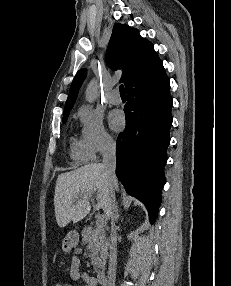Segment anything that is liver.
<instances>
[{"label": "liver", "instance_id": "liver-1", "mask_svg": "<svg viewBox=\"0 0 231 286\" xmlns=\"http://www.w3.org/2000/svg\"><path fill=\"white\" fill-rule=\"evenodd\" d=\"M115 190H119L118 182L114 192ZM92 193H96L97 203L94 209L102 208L106 213L110 189L103 164H87L60 174L56 181L54 195L55 217L58 226L65 227L71 221L77 223L82 220L91 210L89 197Z\"/></svg>", "mask_w": 231, "mask_h": 286}]
</instances>
